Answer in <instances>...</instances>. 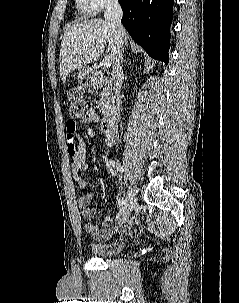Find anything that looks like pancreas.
<instances>
[{
  "label": "pancreas",
  "mask_w": 239,
  "mask_h": 303,
  "mask_svg": "<svg viewBox=\"0 0 239 303\" xmlns=\"http://www.w3.org/2000/svg\"><path fill=\"white\" fill-rule=\"evenodd\" d=\"M95 85L101 89L100 91V100L98 105L101 109L103 115H108L112 109V86L111 82L100 73L95 77Z\"/></svg>",
  "instance_id": "cf45deb5"
}]
</instances>
